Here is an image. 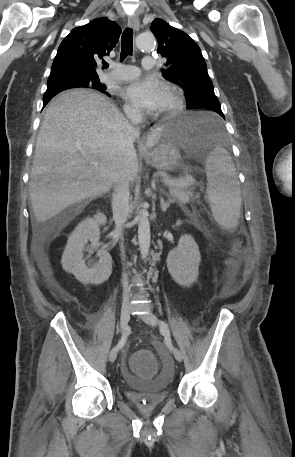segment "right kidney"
Returning <instances> with one entry per match:
<instances>
[{"mask_svg":"<svg viewBox=\"0 0 295 457\" xmlns=\"http://www.w3.org/2000/svg\"><path fill=\"white\" fill-rule=\"evenodd\" d=\"M107 218L98 212L92 218H86L74 229L70 235L62 255V267L72 273L81 283L98 285L112 273V258L105 250L98 251L99 261L95 265L86 266L83 259V250L88 241L92 248L99 247L100 225H104ZM91 252V250H89Z\"/></svg>","mask_w":295,"mask_h":457,"instance_id":"obj_1","label":"right kidney"}]
</instances>
